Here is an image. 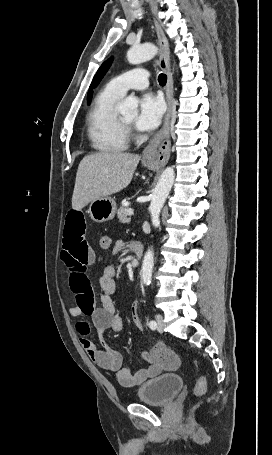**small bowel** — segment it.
<instances>
[{
  "mask_svg": "<svg viewBox=\"0 0 272 455\" xmlns=\"http://www.w3.org/2000/svg\"><path fill=\"white\" fill-rule=\"evenodd\" d=\"M86 221L80 211H70L66 217L61 258L69 273V285L75 296V306L70 308V315L77 319L76 330L79 333L80 342L91 360L104 370L113 373L116 380L126 387L136 386L161 372V366L153 363L132 372L122 367V355L102 342V348H98L90 339V327L82 317L89 316L96 330L104 333L111 330L119 333L124 328L123 319L115 312L113 294L116 291L115 266L108 265L100 278L102 293L100 306H95L94 293L88 276V267L95 261V252L85 238ZM123 241H116L112 248L114 255L120 254L124 249ZM132 317L134 323L141 327L138 316V302L132 304ZM144 360H149V353L141 354Z\"/></svg>",
  "mask_w": 272,
  "mask_h": 455,
  "instance_id": "1",
  "label": "small bowel"
}]
</instances>
